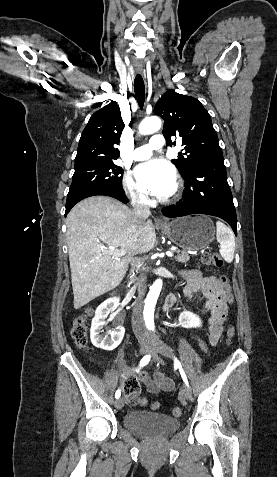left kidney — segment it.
<instances>
[{"label": "left kidney", "mask_w": 277, "mask_h": 477, "mask_svg": "<svg viewBox=\"0 0 277 477\" xmlns=\"http://www.w3.org/2000/svg\"><path fill=\"white\" fill-rule=\"evenodd\" d=\"M179 323L184 328H199L202 326L200 318L189 311H183L180 314Z\"/></svg>", "instance_id": "1"}]
</instances>
